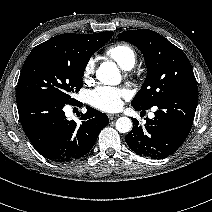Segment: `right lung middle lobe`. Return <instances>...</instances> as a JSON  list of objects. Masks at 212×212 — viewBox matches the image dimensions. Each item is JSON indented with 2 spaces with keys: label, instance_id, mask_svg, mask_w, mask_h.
Wrapping results in <instances>:
<instances>
[{
  "label": "right lung middle lobe",
  "instance_id": "1",
  "mask_svg": "<svg viewBox=\"0 0 212 212\" xmlns=\"http://www.w3.org/2000/svg\"><path fill=\"white\" fill-rule=\"evenodd\" d=\"M113 34L107 31L73 39L62 53L31 51L24 62L16 96L44 95L66 104L73 103L75 100L70 95L82 87L90 57Z\"/></svg>",
  "mask_w": 212,
  "mask_h": 212
}]
</instances>
